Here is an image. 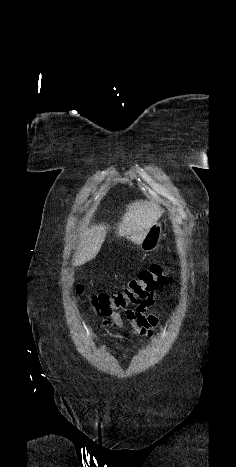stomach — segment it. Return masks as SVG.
Returning a JSON list of instances; mask_svg holds the SVG:
<instances>
[{"mask_svg":"<svg viewBox=\"0 0 236 467\" xmlns=\"http://www.w3.org/2000/svg\"><path fill=\"white\" fill-rule=\"evenodd\" d=\"M162 235V227L160 223H155L147 232L145 238L141 242V250L143 252L154 251L160 242Z\"/></svg>","mask_w":236,"mask_h":467,"instance_id":"0dacf381","label":"stomach"}]
</instances>
